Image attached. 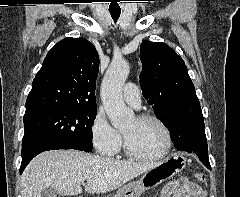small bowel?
Wrapping results in <instances>:
<instances>
[{"mask_svg": "<svg viewBox=\"0 0 240 197\" xmlns=\"http://www.w3.org/2000/svg\"><path fill=\"white\" fill-rule=\"evenodd\" d=\"M164 197H205V191L201 186L184 180L169 186Z\"/></svg>", "mask_w": 240, "mask_h": 197, "instance_id": "c3829d8e", "label": "small bowel"}]
</instances>
